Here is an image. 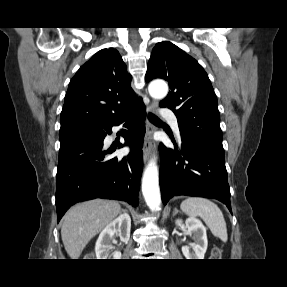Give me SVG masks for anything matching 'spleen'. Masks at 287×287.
Instances as JSON below:
<instances>
[{"label": "spleen", "instance_id": "obj_1", "mask_svg": "<svg viewBox=\"0 0 287 287\" xmlns=\"http://www.w3.org/2000/svg\"><path fill=\"white\" fill-rule=\"evenodd\" d=\"M180 207L189 216H200L215 237L227 242L226 222L222 211L215 203L206 198L190 197L185 199Z\"/></svg>", "mask_w": 287, "mask_h": 287}]
</instances>
